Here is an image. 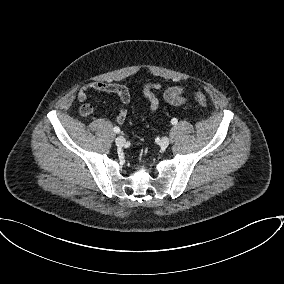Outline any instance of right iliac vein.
Here are the masks:
<instances>
[{"label":"right iliac vein","instance_id":"1","mask_svg":"<svg viewBox=\"0 0 284 284\" xmlns=\"http://www.w3.org/2000/svg\"><path fill=\"white\" fill-rule=\"evenodd\" d=\"M125 138L123 137V136H118V137H116V139H115V143H116V145L118 146V147H123L124 146V144H125Z\"/></svg>","mask_w":284,"mask_h":284}]
</instances>
